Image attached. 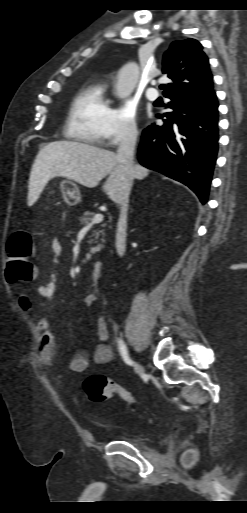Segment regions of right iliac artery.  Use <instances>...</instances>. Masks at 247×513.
<instances>
[{"instance_id": "1", "label": "right iliac artery", "mask_w": 247, "mask_h": 513, "mask_svg": "<svg viewBox=\"0 0 247 513\" xmlns=\"http://www.w3.org/2000/svg\"><path fill=\"white\" fill-rule=\"evenodd\" d=\"M118 346H119V350H120V353H121V356L124 360V362L130 366H134V362L133 360L129 357L128 353H127V348H126V345L123 343L122 340H118Z\"/></svg>"}]
</instances>
